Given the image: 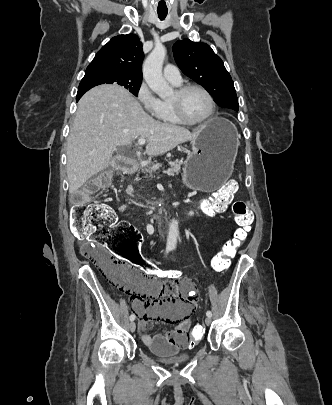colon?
<instances>
[{
	"label": "colon",
	"instance_id": "obj_1",
	"mask_svg": "<svg viewBox=\"0 0 332 405\" xmlns=\"http://www.w3.org/2000/svg\"><path fill=\"white\" fill-rule=\"evenodd\" d=\"M110 182L111 174L103 173L93 180V184H88L85 189L77 191L71 197V230L88 239L81 246L82 255L93 262L116 286H121L123 267H133L142 274L153 273L154 278L178 277L179 273L176 271H162L151 258H141L144 238L131 224L117 220L114 211L106 204L89 202L90 197L99 188ZM237 188L236 180L226 181L210 199L201 204V209L206 213L223 211L232 201ZM232 209L237 228L233 238L223 245L213 260L212 265L217 272H223L229 267L230 259L247 239L253 220L243 201H235ZM114 256H120L121 261ZM205 329V322H194L192 331L186 333L185 337H180L189 338L190 342L186 346L188 351H197L198 347L202 346Z\"/></svg>",
	"mask_w": 332,
	"mask_h": 405
}]
</instances>
